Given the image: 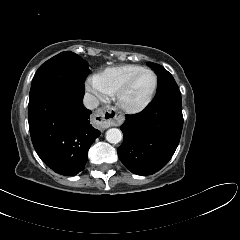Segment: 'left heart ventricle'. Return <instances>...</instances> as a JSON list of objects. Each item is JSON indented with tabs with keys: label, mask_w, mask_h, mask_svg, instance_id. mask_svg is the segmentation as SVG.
Instances as JSON below:
<instances>
[{
	"label": "left heart ventricle",
	"mask_w": 240,
	"mask_h": 240,
	"mask_svg": "<svg viewBox=\"0 0 240 240\" xmlns=\"http://www.w3.org/2000/svg\"><path fill=\"white\" fill-rule=\"evenodd\" d=\"M154 83V76L150 72L141 74L124 95V102L130 106L142 104L150 96Z\"/></svg>",
	"instance_id": "obj_1"
}]
</instances>
